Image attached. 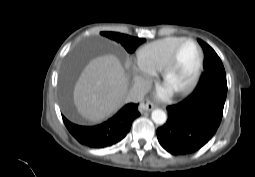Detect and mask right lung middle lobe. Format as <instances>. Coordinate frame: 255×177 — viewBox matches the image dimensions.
Here are the masks:
<instances>
[{
    "label": "right lung middle lobe",
    "mask_w": 255,
    "mask_h": 177,
    "mask_svg": "<svg viewBox=\"0 0 255 177\" xmlns=\"http://www.w3.org/2000/svg\"><path fill=\"white\" fill-rule=\"evenodd\" d=\"M102 36H105L111 40L117 41L121 43V45L126 49L127 52L133 53L135 49L145 42V39H140V38H135L131 37L129 35L121 34V33H116V32H101L100 33ZM67 90L63 91V101L64 103L67 102Z\"/></svg>",
    "instance_id": "1"
}]
</instances>
